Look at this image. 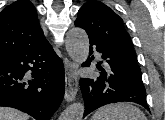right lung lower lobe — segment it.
I'll return each mask as SVG.
<instances>
[{
	"instance_id": "right-lung-lower-lobe-1",
	"label": "right lung lower lobe",
	"mask_w": 165,
	"mask_h": 120,
	"mask_svg": "<svg viewBox=\"0 0 165 120\" xmlns=\"http://www.w3.org/2000/svg\"><path fill=\"white\" fill-rule=\"evenodd\" d=\"M64 92L63 62L47 40L0 57V106L49 120Z\"/></svg>"
}]
</instances>
